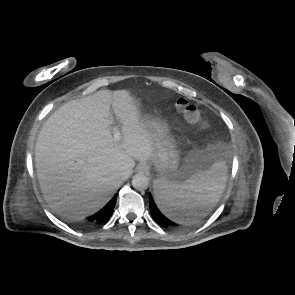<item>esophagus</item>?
<instances>
[{"label": "esophagus", "mask_w": 295, "mask_h": 295, "mask_svg": "<svg viewBox=\"0 0 295 295\" xmlns=\"http://www.w3.org/2000/svg\"><path fill=\"white\" fill-rule=\"evenodd\" d=\"M137 169L140 172L146 173L149 170V167L146 164L141 163V164L138 165Z\"/></svg>", "instance_id": "esophagus-1"}]
</instances>
